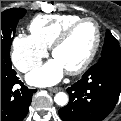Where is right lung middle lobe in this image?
<instances>
[{"label": "right lung middle lobe", "mask_w": 121, "mask_h": 121, "mask_svg": "<svg viewBox=\"0 0 121 121\" xmlns=\"http://www.w3.org/2000/svg\"><path fill=\"white\" fill-rule=\"evenodd\" d=\"M25 13L23 8H11L1 12V57L10 58V46L16 26Z\"/></svg>", "instance_id": "right-lung-middle-lobe-1"}]
</instances>
